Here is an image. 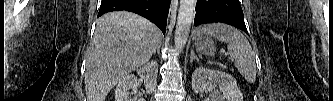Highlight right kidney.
I'll return each instance as SVG.
<instances>
[{
	"instance_id": "obj_1",
	"label": "right kidney",
	"mask_w": 333,
	"mask_h": 101,
	"mask_svg": "<svg viewBox=\"0 0 333 101\" xmlns=\"http://www.w3.org/2000/svg\"><path fill=\"white\" fill-rule=\"evenodd\" d=\"M157 73L158 63L156 61H151L137 70L139 77L144 80L147 93H151L154 90L157 81ZM137 88L138 80L135 76L127 75L123 77L116 87L115 101H129V90L133 89L136 92Z\"/></svg>"
}]
</instances>
